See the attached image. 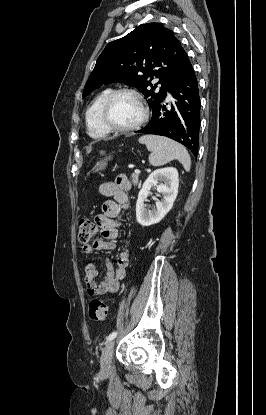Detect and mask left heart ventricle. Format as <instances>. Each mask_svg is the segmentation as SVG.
Returning <instances> with one entry per match:
<instances>
[{
  "label": "left heart ventricle",
  "mask_w": 266,
  "mask_h": 415,
  "mask_svg": "<svg viewBox=\"0 0 266 415\" xmlns=\"http://www.w3.org/2000/svg\"><path fill=\"white\" fill-rule=\"evenodd\" d=\"M142 111L137 100L129 94H121L115 98L110 110L112 122L120 127L134 125L141 118Z\"/></svg>",
  "instance_id": "obj_1"
}]
</instances>
